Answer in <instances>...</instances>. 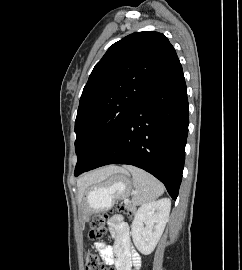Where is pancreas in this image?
Wrapping results in <instances>:
<instances>
[{"label":"pancreas","mask_w":242,"mask_h":270,"mask_svg":"<svg viewBox=\"0 0 242 270\" xmlns=\"http://www.w3.org/2000/svg\"><path fill=\"white\" fill-rule=\"evenodd\" d=\"M126 208H127L128 210L132 211V212H134L135 209H136L135 206L132 205V204H127V205H126Z\"/></svg>","instance_id":"pancreas-1"}]
</instances>
